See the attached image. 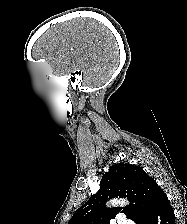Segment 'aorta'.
<instances>
[{
	"label": "aorta",
	"instance_id": "aorta-1",
	"mask_svg": "<svg viewBox=\"0 0 187 224\" xmlns=\"http://www.w3.org/2000/svg\"><path fill=\"white\" fill-rule=\"evenodd\" d=\"M126 204H128V201L126 199H119V200L113 199L109 203L110 206H118V205L124 206Z\"/></svg>",
	"mask_w": 187,
	"mask_h": 224
}]
</instances>
